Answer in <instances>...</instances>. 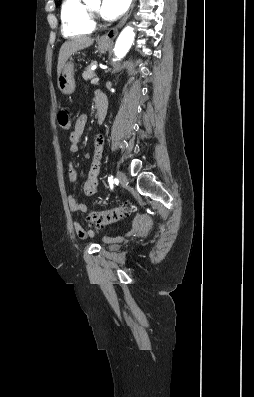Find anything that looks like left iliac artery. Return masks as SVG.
Masks as SVG:
<instances>
[{"label": "left iliac artery", "mask_w": 254, "mask_h": 397, "mask_svg": "<svg viewBox=\"0 0 254 397\" xmlns=\"http://www.w3.org/2000/svg\"><path fill=\"white\" fill-rule=\"evenodd\" d=\"M108 181H109V184H110V187H111V188H113L114 182H115V183H118V180H117V181L114 180V179H113V176H109V177H108Z\"/></svg>", "instance_id": "44dca946"}]
</instances>
